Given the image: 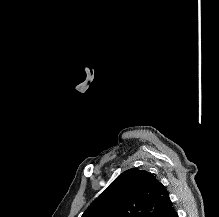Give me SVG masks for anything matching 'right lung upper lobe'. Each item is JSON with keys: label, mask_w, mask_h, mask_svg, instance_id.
<instances>
[{"label": "right lung upper lobe", "mask_w": 219, "mask_h": 217, "mask_svg": "<svg viewBox=\"0 0 219 217\" xmlns=\"http://www.w3.org/2000/svg\"><path fill=\"white\" fill-rule=\"evenodd\" d=\"M173 204L153 174L129 169L120 174L82 217H166Z\"/></svg>", "instance_id": "obj_1"}]
</instances>
